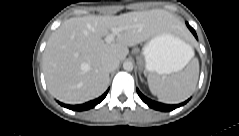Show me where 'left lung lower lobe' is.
<instances>
[{"label":"left lung lower lobe","mask_w":239,"mask_h":136,"mask_svg":"<svg viewBox=\"0 0 239 136\" xmlns=\"http://www.w3.org/2000/svg\"><path fill=\"white\" fill-rule=\"evenodd\" d=\"M186 24H187V27L190 29V31L193 33V35L197 39L195 30L188 23H186ZM137 93L140 96L141 100L143 102H145L149 107H151L155 110H159V111H172L180 106H183L184 104H186L188 102V100H187V101L177 104V105H168V104H163V103H159V102L150 100L149 98L145 97L138 89H137Z\"/></svg>","instance_id":"obj_1"}]
</instances>
